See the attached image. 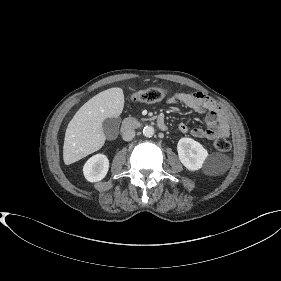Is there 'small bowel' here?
<instances>
[{"mask_svg":"<svg viewBox=\"0 0 281 281\" xmlns=\"http://www.w3.org/2000/svg\"><path fill=\"white\" fill-rule=\"evenodd\" d=\"M168 102L170 104L182 103L197 112H207V128L194 127L189 129L187 125L181 123L178 126L179 133L186 134L190 132L193 137L199 139H213L216 136H229L230 130L226 117L217 103L209 96L200 92L175 93L168 98Z\"/></svg>","mask_w":281,"mask_h":281,"instance_id":"obj_1","label":"small bowel"}]
</instances>
